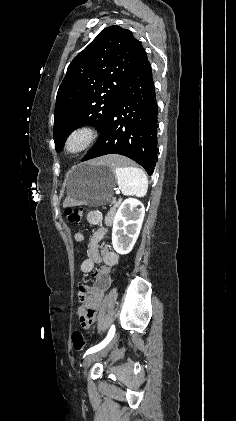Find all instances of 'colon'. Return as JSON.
<instances>
[{"mask_svg": "<svg viewBox=\"0 0 236 421\" xmlns=\"http://www.w3.org/2000/svg\"><path fill=\"white\" fill-rule=\"evenodd\" d=\"M83 208L74 207L66 210V215L70 222L79 223L83 218ZM83 319H81L82 322ZM85 321V320H84ZM72 346L75 350H83L86 347V339L80 331H74L71 336Z\"/></svg>", "mask_w": 236, "mask_h": 421, "instance_id": "colon-1", "label": "colon"}]
</instances>
